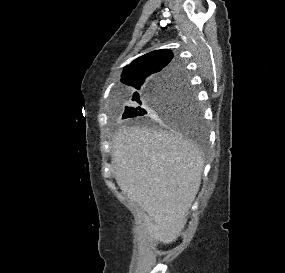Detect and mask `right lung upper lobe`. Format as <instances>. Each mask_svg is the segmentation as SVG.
Returning a JSON list of instances; mask_svg holds the SVG:
<instances>
[{"instance_id": "right-lung-upper-lobe-1", "label": "right lung upper lobe", "mask_w": 285, "mask_h": 273, "mask_svg": "<svg viewBox=\"0 0 285 273\" xmlns=\"http://www.w3.org/2000/svg\"><path fill=\"white\" fill-rule=\"evenodd\" d=\"M175 70H179V64L173 59L172 52L168 49L156 50L127 65L123 70L121 81L141 92L152 81ZM138 95L139 93L135 92L133 98Z\"/></svg>"}]
</instances>
